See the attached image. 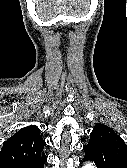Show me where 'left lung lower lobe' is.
I'll list each match as a JSON object with an SVG mask.
<instances>
[{"instance_id": "1", "label": "left lung lower lobe", "mask_w": 127, "mask_h": 168, "mask_svg": "<svg viewBox=\"0 0 127 168\" xmlns=\"http://www.w3.org/2000/svg\"><path fill=\"white\" fill-rule=\"evenodd\" d=\"M83 161H93L97 168H127L115 150L103 142H90L83 147Z\"/></svg>"}]
</instances>
